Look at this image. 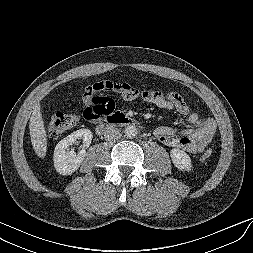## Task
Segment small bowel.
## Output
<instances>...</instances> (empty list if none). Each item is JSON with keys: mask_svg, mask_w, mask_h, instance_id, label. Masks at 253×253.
<instances>
[{"mask_svg": "<svg viewBox=\"0 0 253 253\" xmlns=\"http://www.w3.org/2000/svg\"><path fill=\"white\" fill-rule=\"evenodd\" d=\"M104 92H111L116 96L131 101L139 97L140 93L128 83L102 80L85 87L82 100L85 106L84 113L92 111L96 105H103L115 111L114 100L105 96ZM142 99L156 107L174 110L186 116V122L192 126L190 129L177 130L168 126H159L154 130V136L164 145L180 148L190 154L202 153L216 133V123L211 118L201 116L193 111L184 98L177 92H163L147 90L142 93ZM86 119V118H85ZM94 121V119H86Z\"/></svg>", "mask_w": 253, "mask_h": 253, "instance_id": "obj_1", "label": "small bowel"}]
</instances>
